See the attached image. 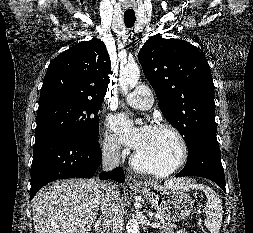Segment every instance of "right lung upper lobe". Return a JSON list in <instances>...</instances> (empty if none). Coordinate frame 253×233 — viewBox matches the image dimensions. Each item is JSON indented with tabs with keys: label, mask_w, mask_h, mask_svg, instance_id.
<instances>
[{
	"label": "right lung upper lobe",
	"mask_w": 253,
	"mask_h": 233,
	"mask_svg": "<svg viewBox=\"0 0 253 233\" xmlns=\"http://www.w3.org/2000/svg\"><path fill=\"white\" fill-rule=\"evenodd\" d=\"M110 74L105 44L96 38L80 42L50 62L39 103L54 98L103 102Z\"/></svg>",
	"instance_id": "right-lung-upper-lobe-1"
}]
</instances>
